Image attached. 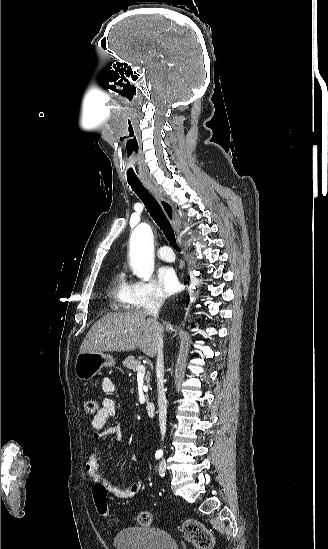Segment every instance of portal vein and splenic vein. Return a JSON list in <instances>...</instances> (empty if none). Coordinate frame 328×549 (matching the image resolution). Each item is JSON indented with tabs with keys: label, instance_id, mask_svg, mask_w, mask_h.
I'll list each match as a JSON object with an SVG mask.
<instances>
[{
	"label": "portal vein and splenic vein",
	"instance_id": "18ae733b",
	"mask_svg": "<svg viewBox=\"0 0 328 549\" xmlns=\"http://www.w3.org/2000/svg\"><path fill=\"white\" fill-rule=\"evenodd\" d=\"M137 371H138V375H140V373H144L145 367H143V365H140V367H138Z\"/></svg>",
	"mask_w": 328,
	"mask_h": 549
}]
</instances>
